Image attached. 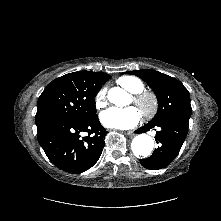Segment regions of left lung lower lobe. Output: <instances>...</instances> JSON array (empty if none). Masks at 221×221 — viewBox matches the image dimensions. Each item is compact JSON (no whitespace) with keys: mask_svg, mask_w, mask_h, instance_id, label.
<instances>
[{"mask_svg":"<svg viewBox=\"0 0 221 221\" xmlns=\"http://www.w3.org/2000/svg\"><path fill=\"white\" fill-rule=\"evenodd\" d=\"M189 118L170 117L158 123H148L137 129L136 133H143L152 128H159L156 133V142L160 143V147L156 148L149 158L140 159L141 165L150 170H159L169 165L178 155L186 138Z\"/></svg>","mask_w":221,"mask_h":221,"instance_id":"left-lung-lower-lobe-1","label":"left lung lower lobe"}]
</instances>
